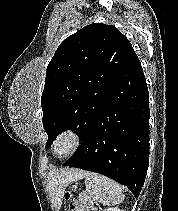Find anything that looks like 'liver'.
<instances>
[{
    "instance_id": "liver-1",
    "label": "liver",
    "mask_w": 178,
    "mask_h": 211,
    "mask_svg": "<svg viewBox=\"0 0 178 211\" xmlns=\"http://www.w3.org/2000/svg\"><path fill=\"white\" fill-rule=\"evenodd\" d=\"M84 172L77 169H56L53 168L48 173V188L50 194L55 202L56 208H60L62 204V198L66 187L79 179H82Z\"/></svg>"
}]
</instances>
